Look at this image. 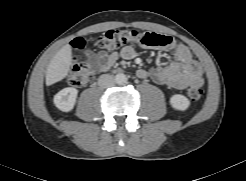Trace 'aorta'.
<instances>
[{"instance_id":"762f6f07","label":"aorta","mask_w":246,"mask_h":181,"mask_svg":"<svg viewBox=\"0 0 246 181\" xmlns=\"http://www.w3.org/2000/svg\"><path fill=\"white\" fill-rule=\"evenodd\" d=\"M115 82L119 85H123L127 82V77L125 74L123 73H118L116 76H115Z\"/></svg>"}]
</instances>
